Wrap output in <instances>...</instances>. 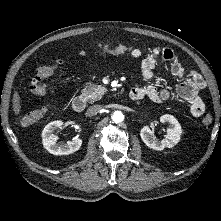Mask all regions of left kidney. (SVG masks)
Segmentation results:
<instances>
[{
	"label": "left kidney",
	"mask_w": 221,
	"mask_h": 221,
	"mask_svg": "<svg viewBox=\"0 0 221 221\" xmlns=\"http://www.w3.org/2000/svg\"><path fill=\"white\" fill-rule=\"evenodd\" d=\"M161 123H168L166 138L163 140H157L153 134V131L149 126H144L140 131V136L143 142L154 150H163L164 148H172L180 141L182 133L181 126L177 119L169 114L162 115L160 117Z\"/></svg>",
	"instance_id": "1"
}]
</instances>
